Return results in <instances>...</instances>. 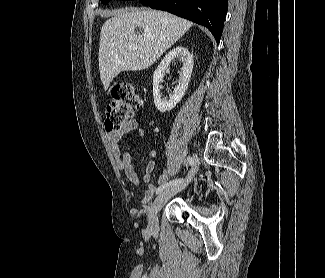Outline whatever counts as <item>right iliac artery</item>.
<instances>
[{"instance_id": "82829eb1", "label": "right iliac artery", "mask_w": 325, "mask_h": 278, "mask_svg": "<svg viewBox=\"0 0 325 278\" xmlns=\"http://www.w3.org/2000/svg\"><path fill=\"white\" fill-rule=\"evenodd\" d=\"M187 161L189 162V164L191 166H193L194 163H195L194 162V159L192 157H190V156L187 157ZM182 181H183V179L182 178H179V179L172 180V181H170L168 183H165V184H163V185H161V186L158 187V189L156 191V194L161 193L164 189H166L169 186H174V185L180 184Z\"/></svg>"}]
</instances>
